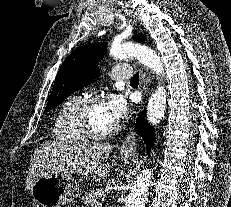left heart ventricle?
Segmentation results:
<instances>
[{"mask_svg": "<svg viewBox=\"0 0 231 207\" xmlns=\"http://www.w3.org/2000/svg\"><path fill=\"white\" fill-rule=\"evenodd\" d=\"M87 121L90 127L99 133L109 131L116 125V122L106 111L104 103L95 104L89 109Z\"/></svg>", "mask_w": 231, "mask_h": 207, "instance_id": "left-heart-ventricle-1", "label": "left heart ventricle"}]
</instances>
